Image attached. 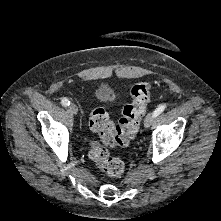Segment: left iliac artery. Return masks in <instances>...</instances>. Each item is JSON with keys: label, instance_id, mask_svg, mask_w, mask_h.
I'll use <instances>...</instances> for the list:
<instances>
[{"label": "left iliac artery", "instance_id": "obj_1", "mask_svg": "<svg viewBox=\"0 0 221 221\" xmlns=\"http://www.w3.org/2000/svg\"><path fill=\"white\" fill-rule=\"evenodd\" d=\"M166 108V105H160L158 106V108L155 109V111L153 112L154 117L158 116L159 114H161Z\"/></svg>", "mask_w": 221, "mask_h": 221}]
</instances>
